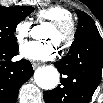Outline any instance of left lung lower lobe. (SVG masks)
<instances>
[{"label":"left lung lower lobe","instance_id":"obj_1","mask_svg":"<svg viewBox=\"0 0 103 103\" xmlns=\"http://www.w3.org/2000/svg\"><path fill=\"white\" fill-rule=\"evenodd\" d=\"M61 85L45 91L46 103H89L101 81L103 40L98 30L87 32L74 41L68 54L55 62Z\"/></svg>","mask_w":103,"mask_h":103}]
</instances>
